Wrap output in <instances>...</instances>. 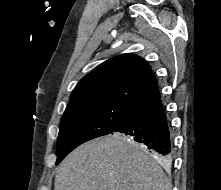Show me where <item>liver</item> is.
<instances>
[{
  "instance_id": "1",
  "label": "liver",
  "mask_w": 221,
  "mask_h": 190,
  "mask_svg": "<svg viewBox=\"0 0 221 190\" xmlns=\"http://www.w3.org/2000/svg\"><path fill=\"white\" fill-rule=\"evenodd\" d=\"M159 164L115 133L72 151L56 169L54 190H171Z\"/></svg>"
}]
</instances>
